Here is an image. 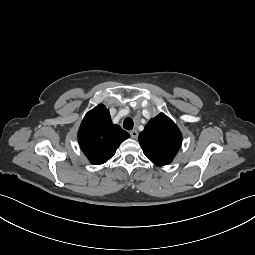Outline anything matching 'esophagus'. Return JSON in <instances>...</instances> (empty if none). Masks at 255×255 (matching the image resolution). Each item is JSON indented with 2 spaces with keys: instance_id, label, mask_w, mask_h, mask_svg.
I'll list each match as a JSON object with an SVG mask.
<instances>
[{
  "instance_id": "esophagus-1",
  "label": "esophagus",
  "mask_w": 255,
  "mask_h": 255,
  "mask_svg": "<svg viewBox=\"0 0 255 255\" xmlns=\"http://www.w3.org/2000/svg\"><path fill=\"white\" fill-rule=\"evenodd\" d=\"M130 135L132 138L136 139L138 137V131L136 129H133L130 131Z\"/></svg>"
}]
</instances>
